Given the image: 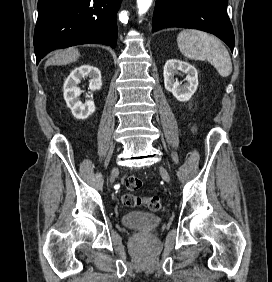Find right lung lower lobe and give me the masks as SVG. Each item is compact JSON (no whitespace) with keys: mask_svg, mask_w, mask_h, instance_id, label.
I'll return each mask as SVG.
<instances>
[{"mask_svg":"<svg viewBox=\"0 0 272 282\" xmlns=\"http://www.w3.org/2000/svg\"><path fill=\"white\" fill-rule=\"evenodd\" d=\"M121 0H38L34 31L37 64L55 49L101 43L116 47Z\"/></svg>","mask_w":272,"mask_h":282,"instance_id":"98d812e1","label":"right lung lower lobe"}]
</instances>
